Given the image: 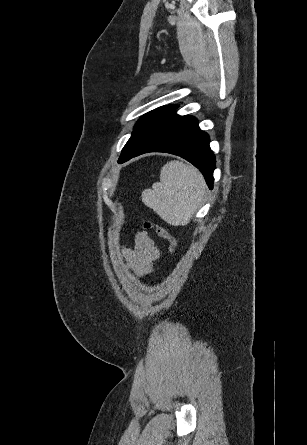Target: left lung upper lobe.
Here are the masks:
<instances>
[{
	"label": "left lung upper lobe",
	"mask_w": 307,
	"mask_h": 445,
	"mask_svg": "<svg viewBox=\"0 0 307 445\" xmlns=\"http://www.w3.org/2000/svg\"><path fill=\"white\" fill-rule=\"evenodd\" d=\"M176 106L168 105L157 108L143 115L134 127L132 136L124 146L118 163H124L125 159L134 153L147 139L171 124L180 116L174 113Z\"/></svg>",
	"instance_id": "1"
}]
</instances>
